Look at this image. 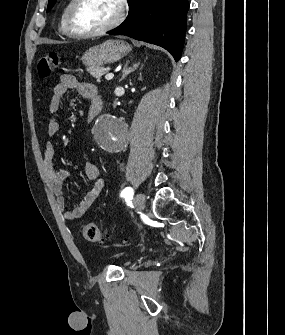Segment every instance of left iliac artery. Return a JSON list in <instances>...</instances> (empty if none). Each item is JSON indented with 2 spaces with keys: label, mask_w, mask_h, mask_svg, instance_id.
Segmentation results:
<instances>
[{
  "label": "left iliac artery",
  "mask_w": 285,
  "mask_h": 335,
  "mask_svg": "<svg viewBox=\"0 0 285 335\" xmlns=\"http://www.w3.org/2000/svg\"><path fill=\"white\" fill-rule=\"evenodd\" d=\"M134 191L131 187H126L122 192H121V197H126L128 195H133Z\"/></svg>",
  "instance_id": "1"
}]
</instances>
